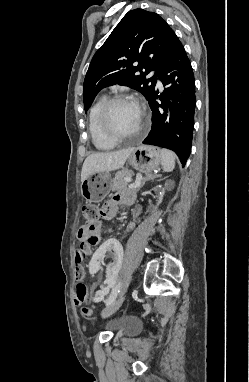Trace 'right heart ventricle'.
Instances as JSON below:
<instances>
[{
  "instance_id": "right-heart-ventricle-1",
  "label": "right heart ventricle",
  "mask_w": 249,
  "mask_h": 382,
  "mask_svg": "<svg viewBox=\"0 0 249 382\" xmlns=\"http://www.w3.org/2000/svg\"><path fill=\"white\" fill-rule=\"evenodd\" d=\"M107 98L105 96L100 97L91 107L89 112V132L95 147L99 150H111L113 149L117 142L109 140L102 132L100 127V112L106 102Z\"/></svg>"
}]
</instances>
